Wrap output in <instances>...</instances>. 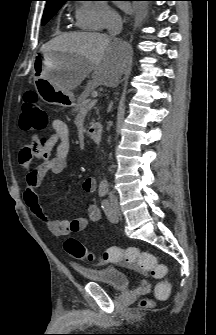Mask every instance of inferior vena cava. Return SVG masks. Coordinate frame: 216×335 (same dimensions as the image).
Masks as SVG:
<instances>
[{"label": "inferior vena cava", "instance_id": "inferior-vena-cava-1", "mask_svg": "<svg viewBox=\"0 0 216 335\" xmlns=\"http://www.w3.org/2000/svg\"><path fill=\"white\" fill-rule=\"evenodd\" d=\"M123 28V23L118 15H113L108 21L107 30L110 36L115 37L120 34Z\"/></svg>", "mask_w": 216, "mask_h": 335}]
</instances>
